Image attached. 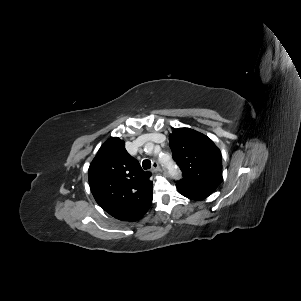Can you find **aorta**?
<instances>
[{
  "label": "aorta",
  "instance_id": "1",
  "mask_svg": "<svg viewBox=\"0 0 301 301\" xmlns=\"http://www.w3.org/2000/svg\"><path fill=\"white\" fill-rule=\"evenodd\" d=\"M165 167L169 173L170 176H172L173 178H178L179 177V172L178 169L176 167V165L173 164L172 161H169L165 164Z\"/></svg>",
  "mask_w": 301,
  "mask_h": 301
}]
</instances>
